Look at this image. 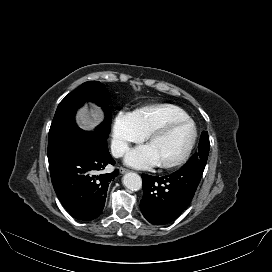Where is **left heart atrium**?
Returning <instances> with one entry per match:
<instances>
[{
    "instance_id": "1",
    "label": "left heart atrium",
    "mask_w": 272,
    "mask_h": 272,
    "mask_svg": "<svg viewBox=\"0 0 272 272\" xmlns=\"http://www.w3.org/2000/svg\"><path fill=\"white\" fill-rule=\"evenodd\" d=\"M125 162L136 168H147L158 164L156 156L148 145L130 151Z\"/></svg>"
}]
</instances>
